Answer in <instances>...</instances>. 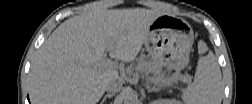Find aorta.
<instances>
[{"label":"aorta","mask_w":252,"mask_h":104,"mask_svg":"<svg viewBox=\"0 0 252 104\" xmlns=\"http://www.w3.org/2000/svg\"><path fill=\"white\" fill-rule=\"evenodd\" d=\"M125 102L126 103H132L133 102V98L130 95H126L125 96Z\"/></svg>","instance_id":"aorta-1"}]
</instances>
